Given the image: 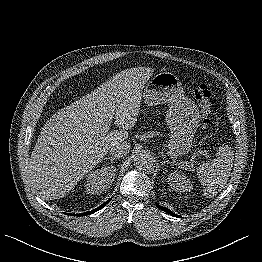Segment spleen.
<instances>
[{
	"label": "spleen",
	"instance_id": "1",
	"mask_svg": "<svg viewBox=\"0 0 262 262\" xmlns=\"http://www.w3.org/2000/svg\"><path fill=\"white\" fill-rule=\"evenodd\" d=\"M234 153L230 146L222 145L217 149L216 157L197 169V176L207 195L221 191L227 183L233 166Z\"/></svg>",
	"mask_w": 262,
	"mask_h": 262
}]
</instances>
